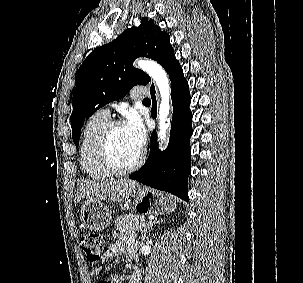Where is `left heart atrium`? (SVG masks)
Returning a JSON list of instances; mask_svg holds the SVG:
<instances>
[{
    "label": "left heart atrium",
    "instance_id": "39dd6f15",
    "mask_svg": "<svg viewBox=\"0 0 303 283\" xmlns=\"http://www.w3.org/2000/svg\"><path fill=\"white\" fill-rule=\"evenodd\" d=\"M123 129L133 145L141 151L146 142V130L139 115L130 112L127 115Z\"/></svg>",
    "mask_w": 303,
    "mask_h": 283
}]
</instances>
